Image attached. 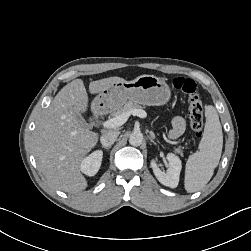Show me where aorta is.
Segmentation results:
<instances>
[{"label": "aorta", "instance_id": "762f6f07", "mask_svg": "<svg viewBox=\"0 0 251 251\" xmlns=\"http://www.w3.org/2000/svg\"><path fill=\"white\" fill-rule=\"evenodd\" d=\"M143 134L140 131L132 132L129 136V143L132 146H140L143 143Z\"/></svg>", "mask_w": 251, "mask_h": 251}]
</instances>
